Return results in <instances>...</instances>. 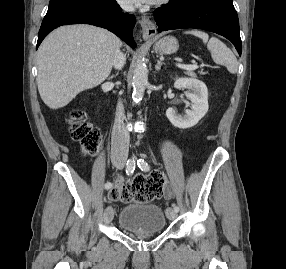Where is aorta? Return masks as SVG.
Returning <instances> with one entry per match:
<instances>
[{"instance_id": "1", "label": "aorta", "mask_w": 286, "mask_h": 269, "mask_svg": "<svg viewBox=\"0 0 286 269\" xmlns=\"http://www.w3.org/2000/svg\"><path fill=\"white\" fill-rule=\"evenodd\" d=\"M148 82V68L144 61H139L134 69L133 75V100H142L145 92V87Z\"/></svg>"}]
</instances>
